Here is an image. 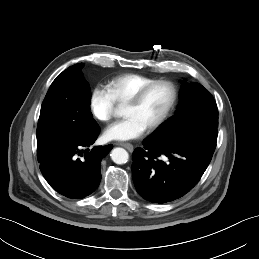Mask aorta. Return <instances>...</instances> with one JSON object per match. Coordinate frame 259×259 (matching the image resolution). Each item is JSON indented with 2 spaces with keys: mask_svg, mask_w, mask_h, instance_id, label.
Returning a JSON list of instances; mask_svg holds the SVG:
<instances>
[{
  "mask_svg": "<svg viewBox=\"0 0 259 259\" xmlns=\"http://www.w3.org/2000/svg\"><path fill=\"white\" fill-rule=\"evenodd\" d=\"M110 156L113 162L116 164H125L129 159L128 152L123 148H114L111 151Z\"/></svg>",
  "mask_w": 259,
  "mask_h": 259,
  "instance_id": "obj_1",
  "label": "aorta"
}]
</instances>
